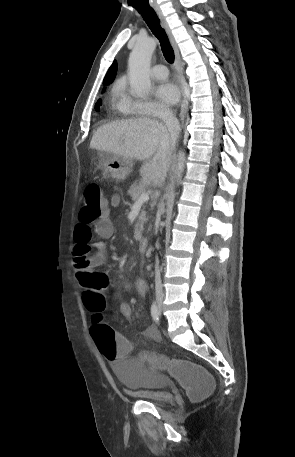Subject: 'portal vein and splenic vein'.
<instances>
[{"mask_svg":"<svg viewBox=\"0 0 295 457\" xmlns=\"http://www.w3.org/2000/svg\"><path fill=\"white\" fill-rule=\"evenodd\" d=\"M149 200V194L144 192L140 195V197L138 198L137 202H145V201H148Z\"/></svg>","mask_w":295,"mask_h":457,"instance_id":"1","label":"portal vein and splenic vein"}]
</instances>
